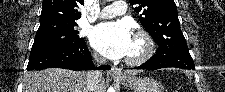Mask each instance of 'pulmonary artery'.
Listing matches in <instances>:
<instances>
[{
  "mask_svg": "<svg viewBox=\"0 0 225 92\" xmlns=\"http://www.w3.org/2000/svg\"><path fill=\"white\" fill-rule=\"evenodd\" d=\"M127 11L126 3L123 1H115L106 6L98 15L99 18H112Z\"/></svg>",
  "mask_w": 225,
  "mask_h": 92,
  "instance_id": "e3ab8cb5",
  "label": "pulmonary artery"
}]
</instances>
